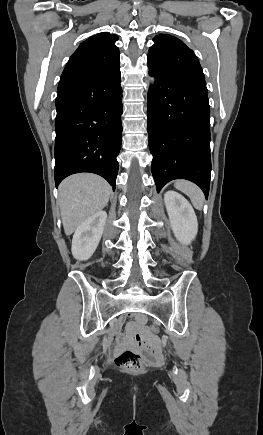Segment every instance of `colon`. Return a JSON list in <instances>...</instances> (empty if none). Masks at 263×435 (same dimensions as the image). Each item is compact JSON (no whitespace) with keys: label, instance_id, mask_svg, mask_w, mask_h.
<instances>
[{"label":"colon","instance_id":"colon-1","mask_svg":"<svg viewBox=\"0 0 263 435\" xmlns=\"http://www.w3.org/2000/svg\"><path fill=\"white\" fill-rule=\"evenodd\" d=\"M147 327L150 329V332H154L156 335L160 333L155 327H153V324H148ZM114 363L116 366L127 372H139L143 368L141 355L132 350H125L119 353L114 358Z\"/></svg>","mask_w":263,"mask_h":435}]
</instances>
